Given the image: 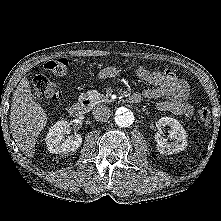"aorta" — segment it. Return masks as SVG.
<instances>
[{
  "instance_id": "762f6f07",
  "label": "aorta",
  "mask_w": 221,
  "mask_h": 221,
  "mask_svg": "<svg viewBox=\"0 0 221 221\" xmlns=\"http://www.w3.org/2000/svg\"><path fill=\"white\" fill-rule=\"evenodd\" d=\"M134 122V114L127 108H119L116 112L115 123L122 128L129 127Z\"/></svg>"
}]
</instances>
